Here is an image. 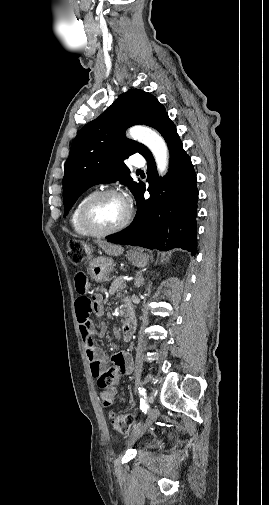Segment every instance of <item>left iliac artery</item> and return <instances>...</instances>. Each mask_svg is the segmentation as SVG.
<instances>
[{"label":"left iliac artery","instance_id":"obj_1","mask_svg":"<svg viewBox=\"0 0 269 505\" xmlns=\"http://www.w3.org/2000/svg\"><path fill=\"white\" fill-rule=\"evenodd\" d=\"M138 391L141 396L140 408L141 410H145L148 408L146 390L144 388H139Z\"/></svg>","mask_w":269,"mask_h":505}]
</instances>
